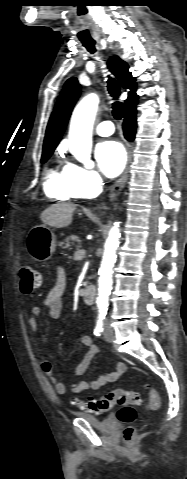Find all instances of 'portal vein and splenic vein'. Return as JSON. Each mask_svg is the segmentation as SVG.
<instances>
[{
	"label": "portal vein and splenic vein",
	"instance_id": "18ae733b",
	"mask_svg": "<svg viewBox=\"0 0 187 479\" xmlns=\"http://www.w3.org/2000/svg\"><path fill=\"white\" fill-rule=\"evenodd\" d=\"M86 252L83 249L77 248L76 252L74 253V257L77 260H81L85 256Z\"/></svg>",
	"mask_w": 187,
	"mask_h": 479
}]
</instances>
